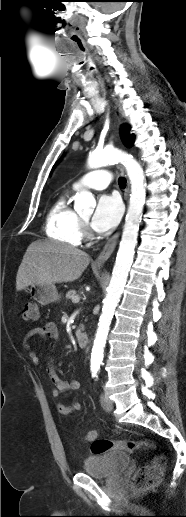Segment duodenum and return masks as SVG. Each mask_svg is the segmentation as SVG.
I'll use <instances>...</instances> for the list:
<instances>
[{"label":"duodenum","instance_id":"obj_1","mask_svg":"<svg viewBox=\"0 0 186 517\" xmlns=\"http://www.w3.org/2000/svg\"><path fill=\"white\" fill-rule=\"evenodd\" d=\"M76 341L79 347L86 348L88 346V335L83 330L76 331Z\"/></svg>","mask_w":186,"mask_h":517}]
</instances>
